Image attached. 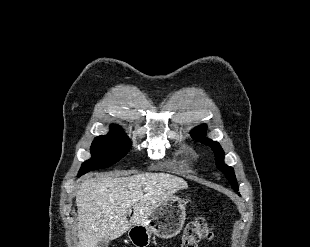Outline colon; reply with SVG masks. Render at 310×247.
<instances>
[{"label": "colon", "instance_id": "5ec220e1", "mask_svg": "<svg viewBox=\"0 0 310 247\" xmlns=\"http://www.w3.org/2000/svg\"><path fill=\"white\" fill-rule=\"evenodd\" d=\"M213 238L212 229L202 218L189 222L183 232L181 247H198L201 240Z\"/></svg>", "mask_w": 310, "mask_h": 247}]
</instances>
